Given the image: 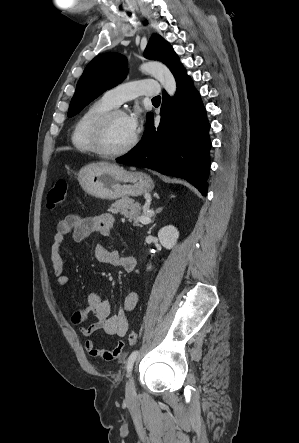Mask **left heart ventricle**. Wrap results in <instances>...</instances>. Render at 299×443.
<instances>
[{"label": "left heart ventricle", "instance_id": "b2bd125f", "mask_svg": "<svg viewBox=\"0 0 299 443\" xmlns=\"http://www.w3.org/2000/svg\"><path fill=\"white\" fill-rule=\"evenodd\" d=\"M134 134L135 132L131 129L127 116H117L107 128L104 146L109 151L120 150L132 140Z\"/></svg>", "mask_w": 299, "mask_h": 443}]
</instances>
